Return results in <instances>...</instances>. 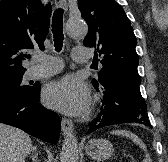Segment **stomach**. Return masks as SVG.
I'll return each instance as SVG.
<instances>
[{"label": "stomach", "instance_id": "1", "mask_svg": "<svg viewBox=\"0 0 168 162\" xmlns=\"http://www.w3.org/2000/svg\"><path fill=\"white\" fill-rule=\"evenodd\" d=\"M86 153L94 160L109 159L114 152L113 145L105 139H91L85 146Z\"/></svg>", "mask_w": 168, "mask_h": 162}]
</instances>
